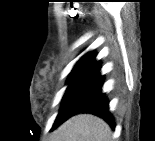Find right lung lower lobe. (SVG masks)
I'll return each instance as SVG.
<instances>
[{"label": "right lung lower lobe", "mask_w": 155, "mask_h": 141, "mask_svg": "<svg viewBox=\"0 0 155 141\" xmlns=\"http://www.w3.org/2000/svg\"><path fill=\"white\" fill-rule=\"evenodd\" d=\"M104 77L100 72H96L93 77L86 82L77 93L68 101L63 108V118L53 126V129L69 119L71 116L79 113H90L104 119L113 129L115 123L109 113L108 101L101 87Z\"/></svg>", "instance_id": "98d812e1"}]
</instances>
